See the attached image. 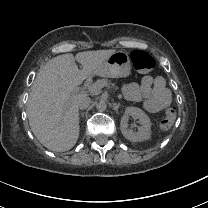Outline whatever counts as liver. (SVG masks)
Wrapping results in <instances>:
<instances>
[{"instance_id": "liver-1", "label": "liver", "mask_w": 208, "mask_h": 208, "mask_svg": "<svg viewBox=\"0 0 208 208\" xmlns=\"http://www.w3.org/2000/svg\"><path fill=\"white\" fill-rule=\"evenodd\" d=\"M115 52L84 51L74 57L63 54L49 60L39 71L29 95L27 116L32 132L49 150L71 149L79 137L78 98L76 86L94 74L97 65ZM83 69L79 70L75 61Z\"/></svg>"}]
</instances>
